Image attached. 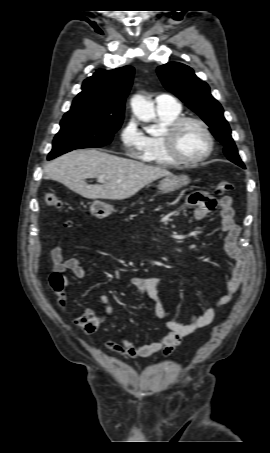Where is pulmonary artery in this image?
<instances>
[{"mask_svg": "<svg viewBox=\"0 0 270 453\" xmlns=\"http://www.w3.org/2000/svg\"><path fill=\"white\" fill-rule=\"evenodd\" d=\"M154 101L158 112H171L181 109L178 101L170 94H160Z\"/></svg>", "mask_w": 270, "mask_h": 453, "instance_id": "1", "label": "pulmonary artery"}]
</instances>
